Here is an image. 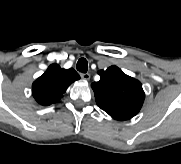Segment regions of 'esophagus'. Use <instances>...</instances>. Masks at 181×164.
I'll use <instances>...</instances> for the list:
<instances>
[{"label": "esophagus", "mask_w": 181, "mask_h": 164, "mask_svg": "<svg viewBox=\"0 0 181 164\" xmlns=\"http://www.w3.org/2000/svg\"><path fill=\"white\" fill-rule=\"evenodd\" d=\"M81 78L84 80H89L90 79V74L89 73H81L80 74Z\"/></svg>", "instance_id": "obj_1"}]
</instances>
